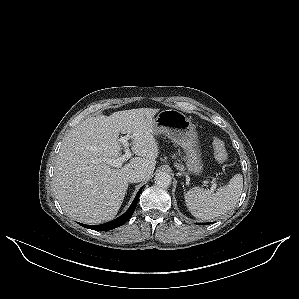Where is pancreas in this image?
<instances>
[{
    "label": "pancreas",
    "mask_w": 299,
    "mask_h": 299,
    "mask_svg": "<svg viewBox=\"0 0 299 299\" xmlns=\"http://www.w3.org/2000/svg\"><path fill=\"white\" fill-rule=\"evenodd\" d=\"M176 167H177V169H179V170H183V166L182 165H180V164H176Z\"/></svg>",
    "instance_id": "pancreas-1"
}]
</instances>
